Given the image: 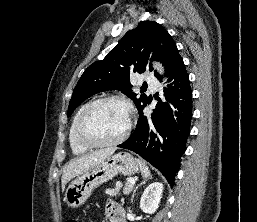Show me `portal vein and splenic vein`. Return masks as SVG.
<instances>
[{
  "label": "portal vein and splenic vein",
  "mask_w": 257,
  "mask_h": 222,
  "mask_svg": "<svg viewBox=\"0 0 257 222\" xmlns=\"http://www.w3.org/2000/svg\"><path fill=\"white\" fill-rule=\"evenodd\" d=\"M128 181H129V183H131L133 185L135 184V180L133 178L128 179Z\"/></svg>",
  "instance_id": "18ae733b"
}]
</instances>
